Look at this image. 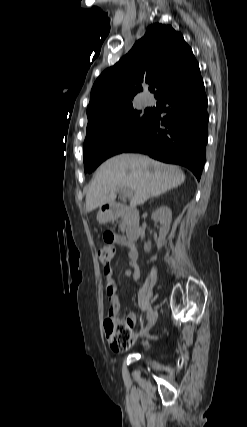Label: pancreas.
I'll use <instances>...</instances> for the list:
<instances>
[{
    "instance_id": "obj_1",
    "label": "pancreas",
    "mask_w": 247,
    "mask_h": 427,
    "mask_svg": "<svg viewBox=\"0 0 247 427\" xmlns=\"http://www.w3.org/2000/svg\"><path fill=\"white\" fill-rule=\"evenodd\" d=\"M121 216L123 217V213H121ZM125 226H126V224H125V222L123 221V222H122V224L120 225V230H121L122 232H124V231H125Z\"/></svg>"
}]
</instances>
